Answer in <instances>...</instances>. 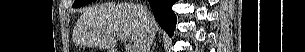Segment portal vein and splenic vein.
I'll return each instance as SVG.
<instances>
[{"label": "portal vein and splenic vein", "mask_w": 305, "mask_h": 52, "mask_svg": "<svg viewBox=\"0 0 305 52\" xmlns=\"http://www.w3.org/2000/svg\"><path fill=\"white\" fill-rule=\"evenodd\" d=\"M117 36H119L122 40H126L128 37L126 34H122V33H118ZM126 52H133V47H131L130 45H127Z\"/></svg>", "instance_id": "18ae733b"}]
</instances>
